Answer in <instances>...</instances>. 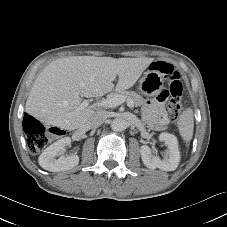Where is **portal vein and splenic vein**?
Returning <instances> with one entry per match:
<instances>
[{
    "mask_svg": "<svg viewBox=\"0 0 227 227\" xmlns=\"http://www.w3.org/2000/svg\"><path fill=\"white\" fill-rule=\"evenodd\" d=\"M74 97L77 98V99H81L77 92L74 93ZM125 101H126L125 98L122 97V96H113L111 98H106V99H104L100 102L95 103L93 105V107L115 108V107L121 105L122 103H124ZM88 106H89V101L88 100H82L81 104L79 105V107L76 110L79 111V110H82V109H84ZM127 106L129 108H133L134 102L132 100H128Z\"/></svg>",
    "mask_w": 227,
    "mask_h": 227,
    "instance_id": "1",
    "label": "portal vein and splenic vein"
}]
</instances>
